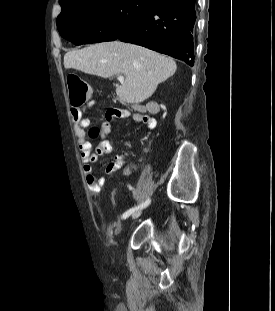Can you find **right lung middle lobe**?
Segmentation results:
<instances>
[{
  "instance_id": "right-lung-middle-lobe-1",
  "label": "right lung middle lobe",
  "mask_w": 275,
  "mask_h": 311,
  "mask_svg": "<svg viewBox=\"0 0 275 311\" xmlns=\"http://www.w3.org/2000/svg\"><path fill=\"white\" fill-rule=\"evenodd\" d=\"M159 0H72L61 5L56 23L61 36L76 45L115 40Z\"/></svg>"
}]
</instances>
